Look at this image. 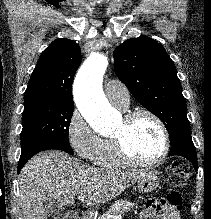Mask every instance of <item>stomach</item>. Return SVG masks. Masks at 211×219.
Segmentation results:
<instances>
[{
  "label": "stomach",
  "mask_w": 211,
  "mask_h": 219,
  "mask_svg": "<svg viewBox=\"0 0 211 219\" xmlns=\"http://www.w3.org/2000/svg\"><path fill=\"white\" fill-rule=\"evenodd\" d=\"M160 183L158 173L152 170H146L144 176L137 181V189L141 193H148L154 191Z\"/></svg>",
  "instance_id": "1"
}]
</instances>
